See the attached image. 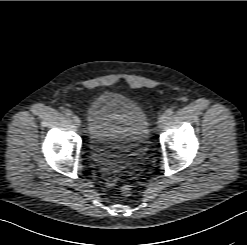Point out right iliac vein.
Segmentation results:
<instances>
[{
    "mask_svg": "<svg viewBox=\"0 0 247 245\" xmlns=\"http://www.w3.org/2000/svg\"><path fill=\"white\" fill-rule=\"evenodd\" d=\"M72 119H73V122L75 123V125L77 127H79L81 125V120H80V118L78 116L73 115Z\"/></svg>",
    "mask_w": 247,
    "mask_h": 245,
    "instance_id": "1",
    "label": "right iliac vein"
}]
</instances>
